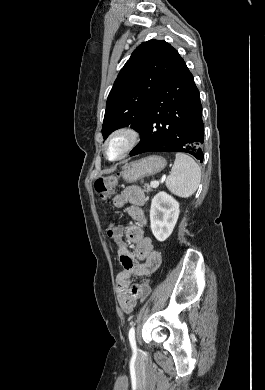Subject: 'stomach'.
<instances>
[{
  "mask_svg": "<svg viewBox=\"0 0 265 390\" xmlns=\"http://www.w3.org/2000/svg\"><path fill=\"white\" fill-rule=\"evenodd\" d=\"M165 166L164 158L155 155L148 156L125 165L121 175L126 182L132 183L161 172Z\"/></svg>",
  "mask_w": 265,
  "mask_h": 390,
  "instance_id": "0dacf381",
  "label": "stomach"
}]
</instances>
